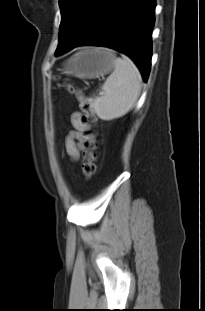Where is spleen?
I'll use <instances>...</instances> for the list:
<instances>
[{"label":"spleen","mask_w":205,"mask_h":311,"mask_svg":"<svg viewBox=\"0 0 205 311\" xmlns=\"http://www.w3.org/2000/svg\"><path fill=\"white\" fill-rule=\"evenodd\" d=\"M141 74L126 56L115 59L114 71L101 87L100 96L89 99L90 107L103 120L127 114L136 103L141 90Z\"/></svg>","instance_id":"obj_1"}]
</instances>
